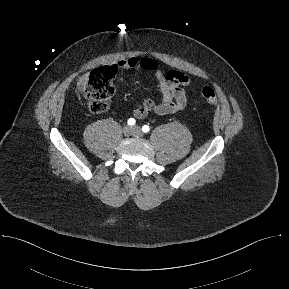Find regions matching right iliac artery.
<instances>
[{"mask_svg": "<svg viewBox=\"0 0 289 289\" xmlns=\"http://www.w3.org/2000/svg\"><path fill=\"white\" fill-rule=\"evenodd\" d=\"M127 123H128V125L133 126L136 123V121L134 118H130V119H128Z\"/></svg>", "mask_w": 289, "mask_h": 289, "instance_id": "right-iliac-artery-1", "label": "right iliac artery"}]
</instances>
